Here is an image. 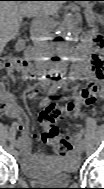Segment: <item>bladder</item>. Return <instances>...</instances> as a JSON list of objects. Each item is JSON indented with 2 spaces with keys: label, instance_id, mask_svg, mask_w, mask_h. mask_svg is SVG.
Segmentation results:
<instances>
[{
  "label": "bladder",
  "instance_id": "1",
  "mask_svg": "<svg viewBox=\"0 0 104 189\" xmlns=\"http://www.w3.org/2000/svg\"><path fill=\"white\" fill-rule=\"evenodd\" d=\"M76 169L74 163L61 162L59 158L53 157L37 167L22 168L21 172L34 184L64 186L70 183L71 175Z\"/></svg>",
  "mask_w": 104,
  "mask_h": 189
}]
</instances>
